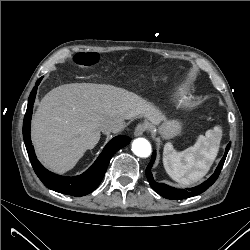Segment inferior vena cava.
Masks as SVG:
<instances>
[{
	"label": "inferior vena cava",
	"instance_id": "602c4592",
	"mask_svg": "<svg viewBox=\"0 0 250 250\" xmlns=\"http://www.w3.org/2000/svg\"><path fill=\"white\" fill-rule=\"evenodd\" d=\"M124 128V123L122 120H109L103 126V131L105 133L114 132L117 133Z\"/></svg>",
	"mask_w": 250,
	"mask_h": 250
}]
</instances>
